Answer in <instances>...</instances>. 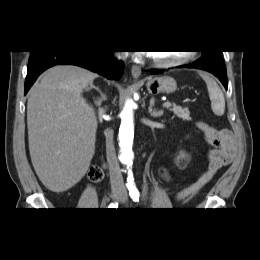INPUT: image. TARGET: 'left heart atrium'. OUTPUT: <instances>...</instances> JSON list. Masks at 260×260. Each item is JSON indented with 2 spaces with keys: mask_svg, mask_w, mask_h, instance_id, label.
<instances>
[{
  "mask_svg": "<svg viewBox=\"0 0 260 260\" xmlns=\"http://www.w3.org/2000/svg\"><path fill=\"white\" fill-rule=\"evenodd\" d=\"M148 55H152L153 53L152 52H147Z\"/></svg>",
  "mask_w": 260,
  "mask_h": 260,
  "instance_id": "1",
  "label": "left heart atrium"
}]
</instances>
